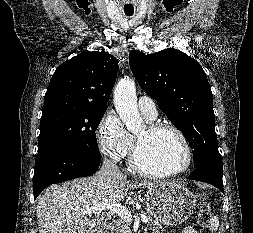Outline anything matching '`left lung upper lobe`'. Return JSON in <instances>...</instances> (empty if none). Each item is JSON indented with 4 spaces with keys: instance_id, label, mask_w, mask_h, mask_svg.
I'll return each mask as SVG.
<instances>
[{
    "instance_id": "obj_1",
    "label": "left lung upper lobe",
    "mask_w": 253,
    "mask_h": 233,
    "mask_svg": "<svg viewBox=\"0 0 253 233\" xmlns=\"http://www.w3.org/2000/svg\"><path fill=\"white\" fill-rule=\"evenodd\" d=\"M129 63L141 88L184 134L193 148L195 167L223 166L217 149L212 92L201 65L168 48L154 54L132 50Z\"/></svg>"
}]
</instances>
